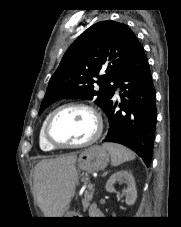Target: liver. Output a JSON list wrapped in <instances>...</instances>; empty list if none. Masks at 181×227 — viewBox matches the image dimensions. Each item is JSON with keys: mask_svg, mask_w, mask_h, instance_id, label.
<instances>
[{"mask_svg": "<svg viewBox=\"0 0 181 227\" xmlns=\"http://www.w3.org/2000/svg\"><path fill=\"white\" fill-rule=\"evenodd\" d=\"M77 155L70 154L38 162L34 188L38 205L46 217H62L75 195L78 182Z\"/></svg>", "mask_w": 181, "mask_h": 227, "instance_id": "liver-1", "label": "liver"}]
</instances>
